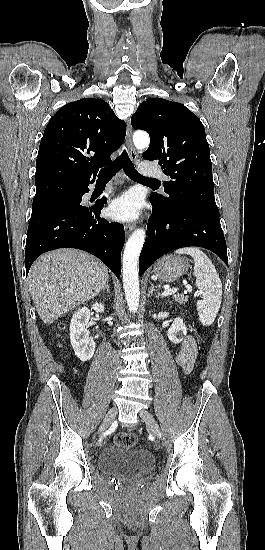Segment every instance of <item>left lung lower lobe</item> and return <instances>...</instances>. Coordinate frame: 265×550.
I'll list each match as a JSON object with an SVG mask.
<instances>
[{
  "label": "left lung lower lobe",
  "instance_id": "obj_1",
  "mask_svg": "<svg viewBox=\"0 0 265 550\" xmlns=\"http://www.w3.org/2000/svg\"><path fill=\"white\" fill-rule=\"evenodd\" d=\"M153 206L148 237L139 257L140 275L165 253L189 246H199L217 254L227 265L226 242L219 214L194 205H177L161 209Z\"/></svg>",
  "mask_w": 265,
  "mask_h": 550
}]
</instances>
